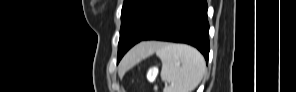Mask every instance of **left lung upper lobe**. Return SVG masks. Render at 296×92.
I'll use <instances>...</instances> for the list:
<instances>
[{
  "label": "left lung upper lobe",
  "mask_w": 296,
  "mask_h": 92,
  "mask_svg": "<svg viewBox=\"0 0 296 92\" xmlns=\"http://www.w3.org/2000/svg\"><path fill=\"white\" fill-rule=\"evenodd\" d=\"M170 0H124L117 61L158 24Z\"/></svg>",
  "instance_id": "5c2ea615"
}]
</instances>
